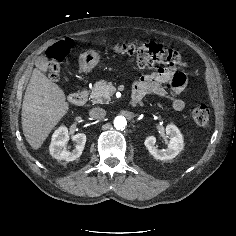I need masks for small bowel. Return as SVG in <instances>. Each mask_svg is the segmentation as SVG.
<instances>
[{"instance_id": "obj_1", "label": "small bowel", "mask_w": 236, "mask_h": 236, "mask_svg": "<svg viewBox=\"0 0 236 236\" xmlns=\"http://www.w3.org/2000/svg\"><path fill=\"white\" fill-rule=\"evenodd\" d=\"M188 82L187 76L178 72L174 67L159 68L153 73L141 77L133 86L135 96L142 98L146 94H155L170 100L172 107L181 111L185 107L182 99L170 96L164 89V85L169 84L174 93H181Z\"/></svg>"}]
</instances>
